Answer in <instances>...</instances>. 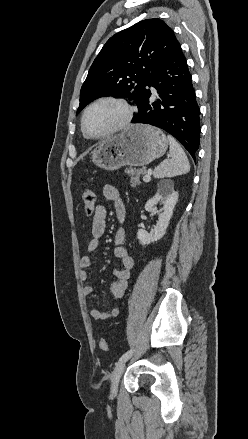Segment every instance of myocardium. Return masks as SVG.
Here are the masks:
<instances>
[{"mask_svg":"<svg viewBox=\"0 0 248 439\" xmlns=\"http://www.w3.org/2000/svg\"><path fill=\"white\" fill-rule=\"evenodd\" d=\"M103 102H112V103H116L118 104L120 107H122V109L124 110V118L121 121V123L119 125H117L116 127H114L113 129L99 134V135H93L90 134L85 127V120H86V116L88 114V112L96 105L103 103ZM134 107L125 99L121 98V97H116V96H103L100 97L96 100H94L93 102H91L83 111L82 117H81V130L84 134L85 137L89 138V139H103L105 137L111 136L113 134H116L118 132H121L125 129H127L134 117Z\"/></svg>","mask_w":248,"mask_h":439,"instance_id":"1","label":"myocardium"}]
</instances>
